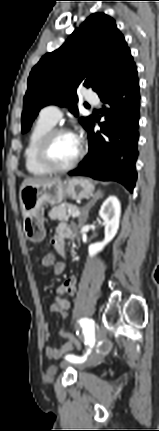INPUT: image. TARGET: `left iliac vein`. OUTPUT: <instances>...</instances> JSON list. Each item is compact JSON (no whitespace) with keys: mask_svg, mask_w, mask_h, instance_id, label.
<instances>
[{"mask_svg":"<svg viewBox=\"0 0 159 431\" xmlns=\"http://www.w3.org/2000/svg\"><path fill=\"white\" fill-rule=\"evenodd\" d=\"M96 338L98 340H103L105 338V332H104V330L99 329L97 331V333H96ZM103 356H104V353L101 350L96 351L93 354H91L83 363H80L78 365V367L80 369H84V368L90 367L92 365H95V364H97L103 358ZM61 365L63 367H66V366L69 365V363L68 362H63Z\"/></svg>","mask_w":159,"mask_h":431,"instance_id":"obj_1","label":"left iliac vein"}]
</instances>
